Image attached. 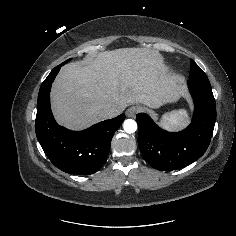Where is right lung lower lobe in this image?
Listing matches in <instances>:
<instances>
[{
	"instance_id": "98d812e1",
	"label": "right lung lower lobe",
	"mask_w": 236,
	"mask_h": 236,
	"mask_svg": "<svg viewBox=\"0 0 236 236\" xmlns=\"http://www.w3.org/2000/svg\"><path fill=\"white\" fill-rule=\"evenodd\" d=\"M63 65L56 66L40 87L35 121L36 136L45 154L57 168L69 174H93L106 162L111 139L124 121L125 114L83 131H71L59 126L50 108V89Z\"/></svg>"
}]
</instances>
